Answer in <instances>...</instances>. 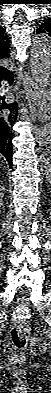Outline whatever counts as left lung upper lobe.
<instances>
[{"mask_svg": "<svg viewBox=\"0 0 51 393\" xmlns=\"http://www.w3.org/2000/svg\"><path fill=\"white\" fill-rule=\"evenodd\" d=\"M37 34H48L51 37V19L44 21L36 30Z\"/></svg>", "mask_w": 51, "mask_h": 393, "instance_id": "5c2ea615", "label": "left lung upper lobe"}]
</instances>
